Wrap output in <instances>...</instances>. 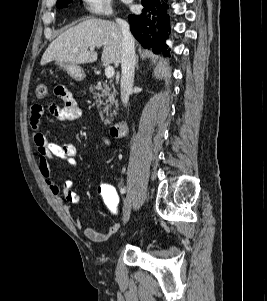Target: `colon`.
<instances>
[{
  "label": "colon",
  "mask_w": 267,
  "mask_h": 301,
  "mask_svg": "<svg viewBox=\"0 0 267 301\" xmlns=\"http://www.w3.org/2000/svg\"><path fill=\"white\" fill-rule=\"evenodd\" d=\"M47 95V86L38 84L35 88V96L43 99ZM97 194L105 210L112 216H117L120 212V198L115 187L109 183L101 182L97 185Z\"/></svg>",
  "instance_id": "colon-1"
}]
</instances>
